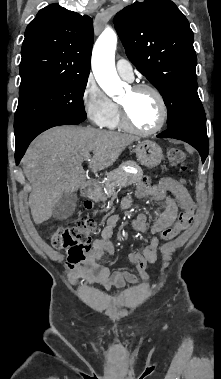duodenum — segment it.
Here are the masks:
<instances>
[{
  "mask_svg": "<svg viewBox=\"0 0 221 379\" xmlns=\"http://www.w3.org/2000/svg\"><path fill=\"white\" fill-rule=\"evenodd\" d=\"M97 183L95 180H89L85 183L84 194L88 201L96 202L97 201Z\"/></svg>",
  "mask_w": 221,
  "mask_h": 379,
  "instance_id": "1",
  "label": "duodenum"
}]
</instances>
